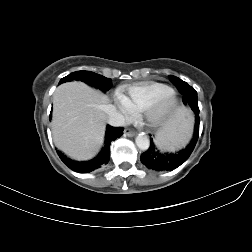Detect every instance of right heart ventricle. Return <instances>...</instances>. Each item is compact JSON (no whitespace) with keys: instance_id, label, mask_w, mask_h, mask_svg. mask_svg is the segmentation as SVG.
Masks as SVG:
<instances>
[{"instance_id":"e07e8e85","label":"right heart ventricle","mask_w":252,"mask_h":252,"mask_svg":"<svg viewBox=\"0 0 252 252\" xmlns=\"http://www.w3.org/2000/svg\"><path fill=\"white\" fill-rule=\"evenodd\" d=\"M171 91L172 89L164 83L140 82L119 87L117 94L125 97L133 111H141L151 101Z\"/></svg>"}]
</instances>
